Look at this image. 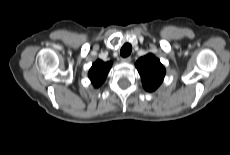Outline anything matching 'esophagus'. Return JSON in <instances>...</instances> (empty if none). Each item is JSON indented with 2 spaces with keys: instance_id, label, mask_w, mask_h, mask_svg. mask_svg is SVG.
Returning <instances> with one entry per match:
<instances>
[{
  "instance_id": "1",
  "label": "esophagus",
  "mask_w": 230,
  "mask_h": 155,
  "mask_svg": "<svg viewBox=\"0 0 230 155\" xmlns=\"http://www.w3.org/2000/svg\"><path fill=\"white\" fill-rule=\"evenodd\" d=\"M121 61L125 62V63H128V62L131 61V57L129 56V57L122 58Z\"/></svg>"
}]
</instances>
